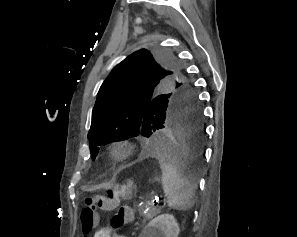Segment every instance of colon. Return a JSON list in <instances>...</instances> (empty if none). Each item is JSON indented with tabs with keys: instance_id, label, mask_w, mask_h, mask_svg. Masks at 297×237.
Masks as SVG:
<instances>
[{
	"instance_id": "5ec220e1",
	"label": "colon",
	"mask_w": 297,
	"mask_h": 237,
	"mask_svg": "<svg viewBox=\"0 0 297 237\" xmlns=\"http://www.w3.org/2000/svg\"><path fill=\"white\" fill-rule=\"evenodd\" d=\"M125 191V187H117L109 190L105 195L95 194L85 198V207L80 216L81 227L85 236L89 235L96 227L99 210H116L111 219V226L114 228H120L132 220L131 209L128 206H119V200Z\"/></svg>"
}]
</instances>
